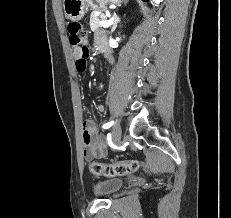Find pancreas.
Here are the masks:
<instances>
[{"label":"pancreas","instance_id":"cf45deb5","mask_svg":"<svg viewBox=\"0 0 231 218\" xmlns=\"http://www.w3.org/2000/svg\"><path fill=\"white\" fill-rule=\"evenodd\" d=\"M99 17L101 20H106V16L102 13H100ZM99 17H97L94 12L91 13V16H90V28H91V30L95 31L101 27L99 25V21H100Z\"/></svg>","mask_w":231,"mask_h":218}]
</instances>
